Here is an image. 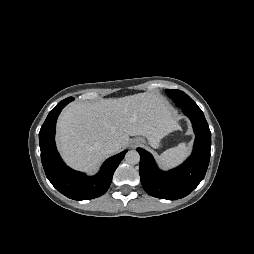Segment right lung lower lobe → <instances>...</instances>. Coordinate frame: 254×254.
Wrapping results in <instances>:
<instances>
[{"mask_svg":"<svg viewBox=\"0 0 254 254\" xmlns=\"http://www.w3.org/2000/svg\"><path fill=\"white\" fill-rule=\"evenodd\" d=\"M72 100L73 97H68L59 102L42 125L39 132L41 161L47 178L60 193L74 200H90L108 190L114 171L127 150L107 159L95 176H86L66 166L57 152L54 137L58 115Z\"/></svg>","mask_w":254,"mask_h":254,"instance_id":"obj_1","label":"right lung lower lobe"}]
</instances>
